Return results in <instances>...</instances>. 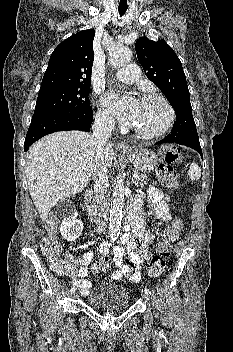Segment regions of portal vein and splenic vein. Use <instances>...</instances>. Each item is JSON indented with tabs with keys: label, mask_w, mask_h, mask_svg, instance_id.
Wrapping results in <instances>:
<instances>
[{
	"label": "portal vein and splenic vein",
	"mask_w": 233,
	"mask_h": 352,
	"mask_svg": "<svg viewBox=\"0 0 233 352\" xmlns=\"http://www.w3.org/2000/svg\"><path fill=\"white\" fill-rule=\"evenodd\" d=\"M138 176H139L138 173H134V174H133V177H134V178H137Z\"/></svg>",
	"instance_id": "1"
}]
</instances>
